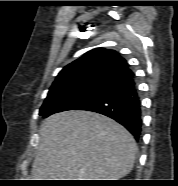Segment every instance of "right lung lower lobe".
I'll return each mask as SVG.
<instances>
[{"label":"right lung lower lobe","instance_id":"right-lung-lower-lobe-1","mask_svg":"<svg viewBox=\"0 0 178 186\" xmlns=\"http://www.w3.org/2000/svg\"><path fill=\"white\" fill-rule=\"evenodd\" d=\"M108 116L123 125L138 140L142 131V105L135 76L118 80L78 108Z\"/></svg>","mask_w":178,"mask_h":186}]
</instances>
